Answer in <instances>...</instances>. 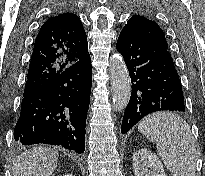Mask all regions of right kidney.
I'll list each match as a JSON object with an SVG mask.
<instances>
[{
	"label": "right kidney",
	"instance_id": "obj_1",
	"mask_svg": "<svg viewBox=\"0 0 205 176\" xmlns=\"http://www.w3.org/2000/svg\"><path fill=\"white\" fill-rule=\"evenodd\" d=\"M62 176H73L72 174H65V175H62Z\"/></svg>",
	"mask_w": 205,
	"mask_h": 176
}]
</instances>
